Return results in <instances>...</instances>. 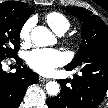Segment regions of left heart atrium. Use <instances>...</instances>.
<instances>
[{"label":"left heart atrium","instance_id":"39dd6f15","mask_svg":"<svg viewBox=\"0 0 108 108\" xmlns=\"http://www.w3.org/2000/svg\"><path fill=\"white\" fill-rule=\"evenodd\" d=\"M30 68L41 75L51 74L65 62V56L55 49H34L26 55Z\"/></svg>","mask_w":108,"mask_h":108}]
</instances>
